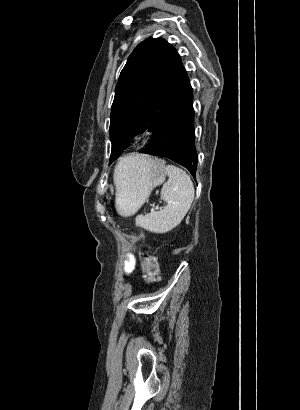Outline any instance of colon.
<instances>
[{"label":"colon","mask_w":300,"mask_h":410,"mask_svg":"<svg viewBox=\"0 0 300 410\" xmlns=\"http://www.w3.org/2000/svg\"><path fill=\"white\" fill-rule=\"evenodd\" d=\"M142 267L144 271V279L147 283H153L159 278V266L156 256L145 252L143 254Z\"/></svg>","instance_id":"colon-1"}]
</instances>
